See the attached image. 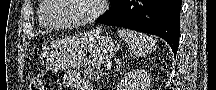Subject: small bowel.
<instances>
[{
    "label": "small bowel",
    "mask_w": 216,
    "mask_h": 90,
    "mask_svg": "<svg viewBox=\"0 0 216 90\" xmlns=\"http://www.w3.org/2000/svg\"><path fill=\"white\" fill-rule=\"evenodd\" d=\"M63 83L65 86L73 87L76 90H93L91 83L83 79L77 70L66 71Z\"/></svg>",
    "instance_id": "c3829d8e"
}]
</instances>
